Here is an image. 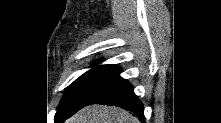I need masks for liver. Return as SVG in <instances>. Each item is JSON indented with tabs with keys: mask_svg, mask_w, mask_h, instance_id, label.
<instances>
[{
	"mask_svg": "<svg viewBox=\"0 0 221 123\" xmlns=\"http://www.w3.org/2000/svg\"><path fill=\"white\" fill-rule=\"evenodd\" d=\"M67 123H139V120L120 108L93 105L81 109Z\"/></svg>",
	"mask_w": 221,
	"mask_h": 123,
	"instance_id": "obj_1",
	"label": "liver"
}]
</instances>
